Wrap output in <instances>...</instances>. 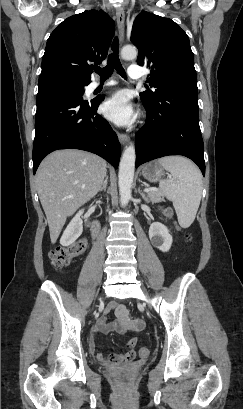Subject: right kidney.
I'll return each instance as SVG.
<instances>
[{
  "instance_id": "obj_1",
  "label": "right kidney",
  "mask_w": 243,
  "mask_h": 409,
  "mask_svg": "<svg viewBox=\"0 0 243 409\" xmlns=\"http://www.w3.org/2000/svg\"><path fill=\"white\" fill-rule=\"evenodd\" d=\"M84 210H79V212L74 216L71 222L68 224L67 228L63 232V235L60 239V244L62 246H69L75 242L78 237L83 232V221L81 219Z\"/></svg>"
}]
</instances>
